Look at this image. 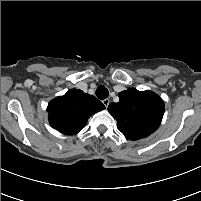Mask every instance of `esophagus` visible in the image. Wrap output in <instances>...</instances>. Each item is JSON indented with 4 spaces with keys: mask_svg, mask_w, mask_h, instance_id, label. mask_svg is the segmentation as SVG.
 <instances>
[{
    "mask_svg": "<svg viewBox=\"0 0 201 201\" xmlns=\"http://www.w3.org/2000/svg\"><path fill=\"white\" fill-rule=\"evenodd\" d=\"M102 103L104 104V106L107 108L108 107V105L110 104V100L107 98V99H104L103 101H102Z\"/></svg>",
    "mask_w": 201,
    "mask_h": 201,
    "instance_id": "1",
    "label": "esophagus"
}]
</instances>
